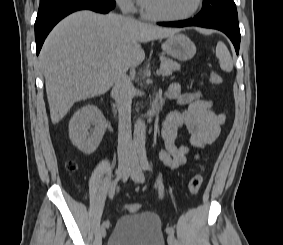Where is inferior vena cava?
<instances>
[{"label": "inferior vena cava", "instance_id": "inferior-vena-cava-1", "mask_svg": "<svg viewBox=\"0 0 283 245\" xmlns=\"http://www.w3.org/2000/svg\"><path fill=\"white\" fill-rule=\"evenodd\" d=\"M112 97L118 108V158L119 160L134 157L131 133V104L133 98V84L125 72L117 77L113 86Z\"/></svg>", "mask_w": 283, "mask_h": 245}]
</instances>
